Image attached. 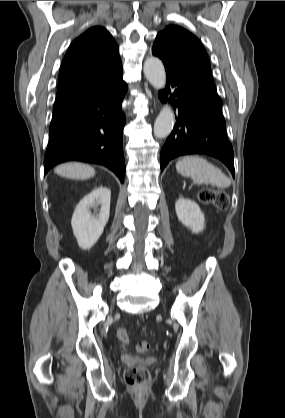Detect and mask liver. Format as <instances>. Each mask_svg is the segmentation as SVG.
Masks as SVG:
<instances>
[{
  "label": "liver",
  "mask_w": 285,
  "mask_h": 418,
  "mask_svg": "<svg viewBox=\"0 0 285 418\" xmlns=\"http://www.w3.org/2000/svg\"><path fill=\"white\" fill-rule=\"evenodd\" d=\"M55 173L65 178L83 180L92 178L95 175V169L86 164L66 163L56 167Z\"/></svg>",
  "instance_id": "liver-1"
}]
</instances>
